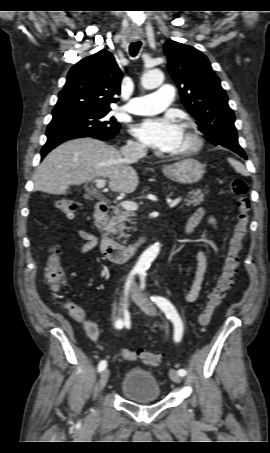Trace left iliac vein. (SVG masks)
Listing matches in <instances>:
<instances>
[{"label":"left iliac vein","mask_w":270,"mask_h":453,"mask_svg":"<svg viewBox=\"0 0 270 453\" xmlns=\"http://www.w3.org/2000/svg\"><path fill=\"white\" fill-rule=\"evenodd\" d=\"M131 297L133 301L149 316H155L157 314L155 306L146 298V296L135 284L131 287ZM169 377L175 383L181 382V376L175 369L169 370Z\"/></svg>","instance_id":"4c4485c4"}]
</instances>
